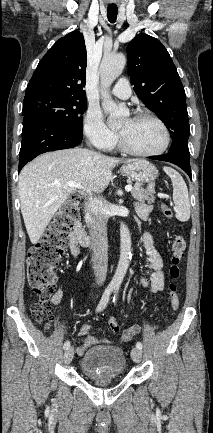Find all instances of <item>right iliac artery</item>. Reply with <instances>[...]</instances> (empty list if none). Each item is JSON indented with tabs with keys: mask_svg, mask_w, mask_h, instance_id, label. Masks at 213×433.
I'll return each mask as SVG.
<instances>
[{
	"mask_svg": "<svg viewBox=\"0 0 213 433\" xmlns=\"http://www.w3.org/2000/svg\"><path fill=\"white\" fill-rule=\"evenodd\" d=\"M112 291H113L112 287H107L105 289V291H104V293L102 295V298H101V300H100V302H99V304H98V306L96 308V312H100V311H102L106 307ZM69 347H70V341H66L64 343V345H63V348L64 349H68Z\"/></svg>",
	"mask_w": 213,
	"mask_h": 433,
	"instance_id": "1",
	"label": "right iliac artery"
}]
</instances>
